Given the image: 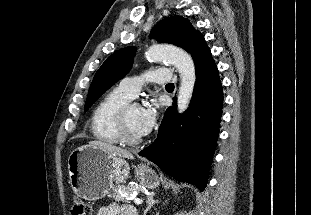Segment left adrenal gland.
<instances>
[{
	"label": "left adrenal gland",
	"mask_w": 311,
	"mask_h": 215,
	"mask_svg": "<svg viewBox=\"0 0 311 215\" xmlns=\"http://www.w3.org/2000/svg\"><path fill=\"white\" fill-rule=\"evenodd\" d=\"M155 196V193L152 192L148 197H147V206H146V209L144 210V213L143 215H146L147 212L152 208V206L156 203H158L159 201L158 200H154L153 197Z\"/></svg>",
	"instance_id": "1"
}]
</instances>
